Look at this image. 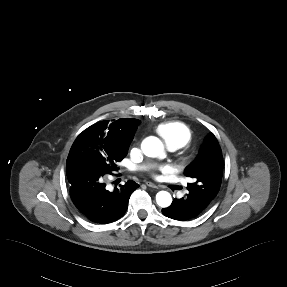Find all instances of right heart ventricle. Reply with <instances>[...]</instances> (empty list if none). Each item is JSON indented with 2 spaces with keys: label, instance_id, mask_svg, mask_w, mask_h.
Returning a JSON list of instances; mask_svg holds the SVG:
<instances>
[{
  "label": "right heart ventricle",
  "instance_id": "1",
  "mask_svg": "<svg viewBox=\"0 0 287 287\" xmlns=\"http://www.w3.org/2000/svg\"><path fill=\"white\" fill-rule=\"evenodd\" d=\"M156 132L168 149L178 150L191 141V130L181 121L161 123L156 127Z\"/></svg>",
  "mask_w": 287,
  "mask_h": 287
}]
</instances>
